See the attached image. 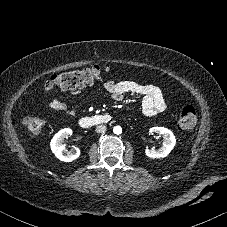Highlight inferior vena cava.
I'll return each mask as SVG.
<instances>
[{"instance_id":"602c4592","label":"inferior vena cava","mask_w":227,"mask_h":227,"mask_svg":"<svg viewBox=\"0 0 227 227\" xmlns=\"http://www.w3.org/2000/svg\"><path fill=\"white\" fill-rule=\"evenodd\" d=\"M105 131H106V126L105 125H98L96 127V132L97 133H105Z\"/></svg>"}]
</instances>
